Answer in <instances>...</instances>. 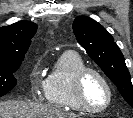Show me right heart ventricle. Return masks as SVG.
Instances as JSON below:
<instances>
[{
    "instance_id": "e07e8e85",
    "label": "right heart ventricle",
    "mask_w": 133,
    "mask_h": 118,
    "mask_svg": "<svg viewBox=\"0 0 133 118\" xmlns=\"http://www.w3.org/2000/svg\"><path fill=\"white\" fill-rule=\"evenodd\" d=\"M85 67L83 58L77 52H63L46 79L47 102L62 109L83 111L75 98L74 85L77 74Z\"/></svg>"
}]
</instances>
